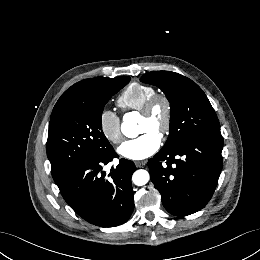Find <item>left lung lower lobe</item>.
Returning <instances> with one entry per match:
<instances>
[{
    "instance_id": "0a47b994",
    "label": "left lung lower lobe",
    "mask_w": 260,
    "mask_h": 260,
    "mask_svg": "<svg viewBox=\"0 0 260 260\" xmlns=\"http://www.w3.org/2000/svg\"><path fill=\"white\" fill-rule=\"evenodd\" d=\"M222 148L221 133H208L163 147L148 161L151 180L169 213L190 215L208 203L221 173Z\"/></svg>"
}]
</instances>
